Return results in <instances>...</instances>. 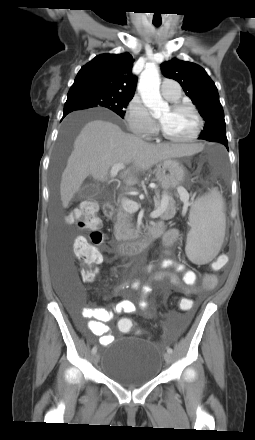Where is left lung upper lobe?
<instances>
[{
    "mask_svg": "<svg viewBox=\"0 0 255 440\" xmlns=\"http://www.w3.org/2000/svg\"><path fill=\"white\" fill-rule=\"evenodd\" d=\"M167 78L178 81L205 120L199 139L227 144L224 111L218 90L206 71L199 65L176 58L161 65Z\"/></svg>",
    "mask_w": 255,
    "mask_h": 440,
    "instance_id": "left-lung-upper-lobe-1",
    "label": "left lung upper lobe"
}]
</instances>
